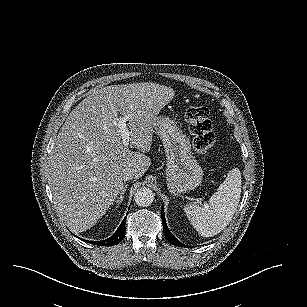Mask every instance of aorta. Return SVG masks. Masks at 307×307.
Wrapping results in <instances>:
<instances>
[{"instance_id": "obj_1", "label": "aorta", "mask_w": 307, "mask_h": 307, "mask_svg": "<svg viewBox=\"0 0 307 307\" xmlns=\"http://www.w3.org/2000/svg\"><path fill=\"white\" fill-rule=\"evenodd\" d=\"M134 200L138 206L148 207L154 201V193L148 187H141L135 193Z\"/></svg>"}]
</instances>
